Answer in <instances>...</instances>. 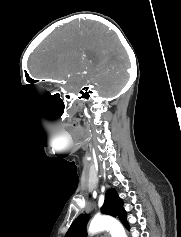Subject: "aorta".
<instances>
[{
	"label": "aorta",
	"instance_id": "aorta-1",
	"mask_svg": "<svg viewBox=\"0 0 181 237\" xmlns=\"http://www.w3.org/2000/svg\"><path fill=\"white\" fill-rule=\"evenodd\" d=\"M107 230L112 237H127L123 226L120 222L110 216H96L90 223L88 232L96 234L98 232Z\"/></svg>",
	"mask_w": 181,
	"mask_h": 237
}]
</instances>
